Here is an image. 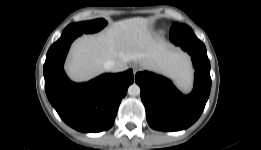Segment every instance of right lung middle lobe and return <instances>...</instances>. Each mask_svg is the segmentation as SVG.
<instances>
[{
    "mask_svg": "<svg viewBox=\"0 0 261 150\" xmlns=\"http://www.w3.org/2000/svg\"><path fill=\"white\" fill-rule=\"evenodd\" d=\"M106 21L104 19H96L92 21L79 22L75 24H71L67 26L64 32L69 31H78L80 33H93L99 31L106 25Z\"/></svg>",
    "mask_w": 261,
    "mask_h": 150,
    "instance_id": "1",
    "label": "right lung middle lobe"
}]
</instances>
